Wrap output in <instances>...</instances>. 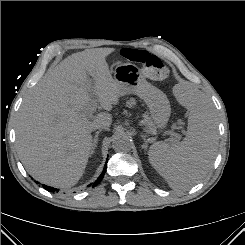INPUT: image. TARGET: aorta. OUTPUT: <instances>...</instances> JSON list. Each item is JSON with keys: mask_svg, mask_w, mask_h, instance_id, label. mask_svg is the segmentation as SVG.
Returning a JSON list of instances; mask_svg holds the SVG:
<instances>
[{"mask_svg": "<svg viewBox=\"0 0 245 245\" xmlns=\"http://www.w3.org/2000/svg\"><path fill=\"white\" fill-rule=\"evenodd\" d=\"M112 147L118 152H128L131 150V142L127 136H116L112 142Z\"/></svg>", "mask_w": 245, "mask_h": 245, "instance_id": "aorta-1", "label": "aorta"}]
</instances>
